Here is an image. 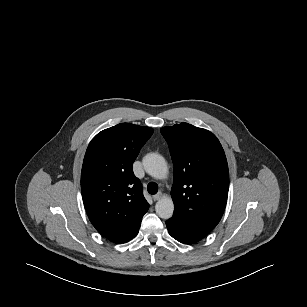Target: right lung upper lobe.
I'll return each instance as SVG.
<instances>
[{"instance_id":"right-lung-upper-lobe-1","label":"right lung upper lobe","mask_w":307,"mask_h":307,"mask_svg":"<svg viewBox=\"0 0 307 307\" xmlns=\"http://www.w3.org/2000/svg\"><path fill=\"white\" fill-rule=\"evenodd\" d=\"M153 131L121 123L101 131L88 145L81 172L83 202L93 226L112 242L134 238L149 209L132 164Z\"/></svg>"}]
</instances>
